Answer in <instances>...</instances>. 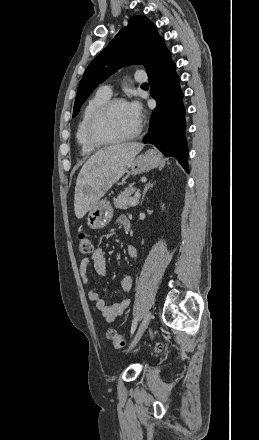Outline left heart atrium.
Returning <instances> with one entry per match:
<instances>
[{
    "label": "left heart atrium",
    "instance_id": "obj_1",
    "mask_svg": "<svg viewBox=\"0 0 259 440\" xmlns=\"http://www.w3.org/2000/svg\"><path fill=\"white\" fill-rule=\"evenodd\" d=\"M128 109L137 124H140L142 120V106L138 101H132L127 103Z\"/></svg>",
    "mask_w": 259,
    "mask_h": 440
}]
</instances>
